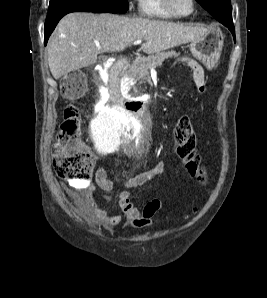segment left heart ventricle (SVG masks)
I'll use <instances>...</instances> for the list:
<instances>
[{
  "label": "left heart ventricle",
  "mask_w": 267,
  "mask_h": 298,
  "mask_svg": "<svg viewBox=\"0 0 267 298\" xmlns=\"http://www.w3.org/2000/svg\"><path fill=\"white\" fill-rule=\"evenodd\" d=\"M174 10L180 14H187L191 11V0H170Z\"/></svg>",
  "instance_id": "left-heart-ventricle-1"
}]
</instances>
